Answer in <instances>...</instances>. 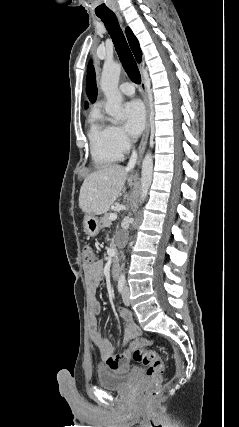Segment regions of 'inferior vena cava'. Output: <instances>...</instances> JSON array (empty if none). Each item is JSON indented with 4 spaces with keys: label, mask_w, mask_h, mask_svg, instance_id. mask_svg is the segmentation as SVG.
Instances as JSON below:
<instances>
[{
    "label": "inferior vena cava",
    "mask_w": 239,
    "mask_h": 427,
    "mask_svg": "<svg viewBox=\"0 0 239 427\" xmlns=\"http://www.w3.org/2000/svg\"><path fill=\"white\" fill-rule=\"evenodd\" d=\"M136 160H137V153L135 150H133L132 155H131L130 160H129L128 165H127L128 170H130L131 168L134 167Z\"/></svg>",
    "instance_id": "1"
}]
</instances>
